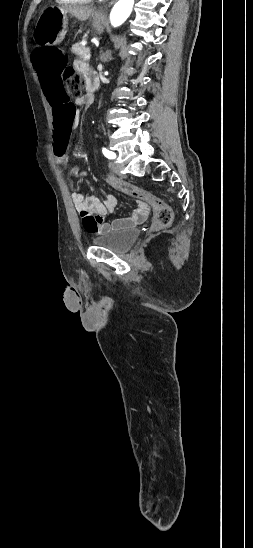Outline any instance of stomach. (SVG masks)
<instances>
[{"label":"stomach","mask_w":253,"mask_h":548,"mask_svg":"<svg viewBox=\"0 0 253 548\" xmlns=\"http://www.w3.org/2000/svg\"><path fill=\"white\" fill-rule=\"evenodd\" d=\"M67 19V14L59 8L45 10L37 23L36 42L41 45L60 43L66 35ZM92 25L97 33L103 31L101 19L94 17Z\"/></svg>","instance_id":"0dacf381"}]
</instances>
